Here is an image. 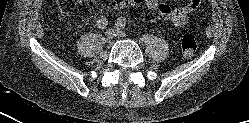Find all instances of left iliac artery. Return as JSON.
<instances>
[{"mask_svg":"<svg viewBox=\"0 0 249 123\" xmlns=\"http://www.w3.org/2000/svg\"><path fill=\"white\" fill-rule=\"evenodd\" d=\"M117 29H124L126 26V19L125 18H119L116 22Z\"/></svg>","mask_w":249,"mask_h":123,"instance_id":"44dca946","label":"left iliac artery"}]
</instances>
